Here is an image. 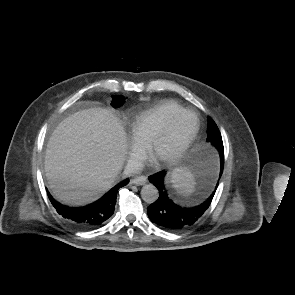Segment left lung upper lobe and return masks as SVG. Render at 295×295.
<instances>
[{"label": "left lung upper lobe", "instance_id": "left-lung-upper-lobe-1", "mask_svg": "<svg viewBox=\"0 0 295 295\" xmlns=\"http://www.w3.org/2000/svg\"><path fill=\"white\" fill-rule=\"evenodd\" d=\"M207 141L211 142L220 152H224L222 137L212 118H208Z\"/></svg>", "mask_w": 295, "mask_h": 295}]
</instances>
